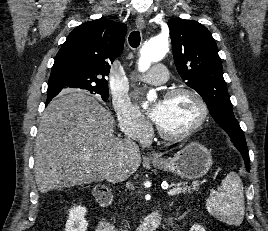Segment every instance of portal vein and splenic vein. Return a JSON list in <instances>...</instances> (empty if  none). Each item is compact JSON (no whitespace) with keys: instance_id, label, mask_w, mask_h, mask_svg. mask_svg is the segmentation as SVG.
I'll return each mask as SVG.
<instances>
[{"instance_id":"18ae733b","label":"portal vein and splenic vein","mask_w":268,"mask_h":231,"mask_svg":"<svg viewBox=\"0 0 268 231\" xmlns=\"http://www.w3.org/2000/svg\"><path fill=\"white\" fill-rule=\"evenodd\" d=\"M183 189L180 188V187H177V188H173L171 190L168 191V195H176V194H179L181 193Z\"/></svg>"}]
</instances>
